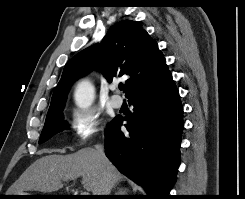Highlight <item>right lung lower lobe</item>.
Wrapping results in <instances>:
<instances>
[{"instance_id":"right-lung-lower-lobe-1","label":"right lung lower lobe","mask_w":245,"mask_h":199,"mask_svg":"<svg viewBox=\"0 0 245 199\" xmlns=\"http://www.w3.org/2000/svg\"><path fill=\"white\" fill-rule=\"evenodd\" d=\"M133 113L116 117L105 132V153L118 170L141 185L149 199H169L180 164L183 108L173 80L129 98ZM123 120L128 133L120 130Z\"/></svg>"}]
</instances>
